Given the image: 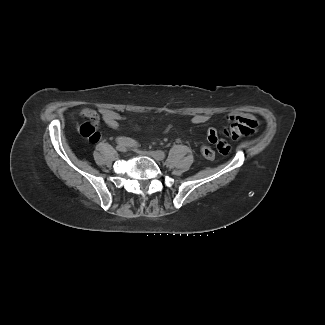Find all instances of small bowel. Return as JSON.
Instances as JSON below:
<instances>
[{
  "label": "small bowel",
  "mask_w": 325,
  "mask_h": 325,
  "mask_svg": "<svg viewBox=\"0 0 325 325\" xmlns=\"http://www.w3.org/2000/svg\"><path fill=\"white\" fill-rule=\"evenodd\" d=\"M81 115L88 119L91 126L97 128L102 119L104 123L111 129L116 130L118 128L119 121L122 120V116L113 110L102 108L99 111L93 109H84ZM209 116L206 114H197L192 117V123L194 124H204L208 121ZM227 126L224 128L223 133L226 137L232 140H240L241 138L252 134L251 126L256 123L254 116L250 114H228L226 116ZM83 126V125H82ZM80 127V132L81 128ZM207 140L210 144L216 147L220 145L218 150L227 155L230 152V147L224 139L218 137V133L215 129L209 128L207 130ZM93 142L97 140H91Z\"/></svg>",
  "instance_id": "1"
}]
</instances>
